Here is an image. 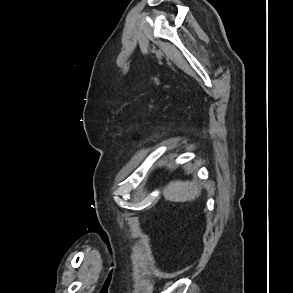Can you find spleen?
I'll list each match as a JSON object with an SVG mask.
<instances>
[{
  "label": "spleen",
  "mask_w": 293,
  "mask_h": 293,
  "mask_svg": "<svg viewBox=\"0 0 293 293\" xmlns=\"http://www.w3.org/2000/svg\"><path fill=\"white\" fill-rule=\"evenodd\" d=\"M200 192L201 188L196 182L176 180L164 188L163 195L169 201L187 202L198 197Z\"/></svg>",
  "instance_id": "spleen-1"
}]
</instances>
